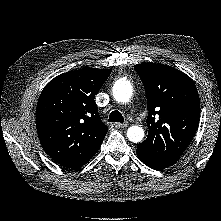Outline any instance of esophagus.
Masks as SVG:
<instances>
[{
    "label": "esophagus",
    "mask_w": 221,
    "mask_h": 221,
    "mask_svg": "<svg viewBox=\"0 0 221 221\" xmlns=\"http://www.w3.org/2000/svg\"><path fill=\"white\" fill-rule=\"evenodd\" d=\"M128 126V122H124V123H115V127L116 128H125Z\"/></svg>",
    "instance_id": "1"
}]
</instances>
